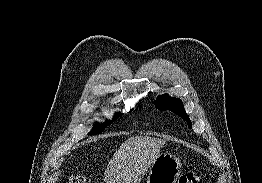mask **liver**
<instances>
[{"instance_id": "obj_1", "label": "liver", "mask_w": 262, "mask_h": 183, "mask_svg": "<svg viewBox=\"0 0 262 183\" xmlns=\"http://www.w3.org/2000/svg\"><path fill=\"white\" fill-rule=\"evenodd\" d=\"M166 143L165 139L132 136L110 159L105 183H139Z\"/></svg>"}]
</instances>
